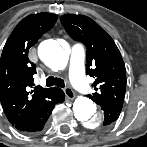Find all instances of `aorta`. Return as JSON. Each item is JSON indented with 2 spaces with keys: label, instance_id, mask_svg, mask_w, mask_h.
<instances>
[{
  "label": "aorta",
  "instance_id": "aorta-1",
  "mask_svg": "<svg viewBox=\"0 0 147 147\" xmlns=\"http://www.w3.org/2000/svg\"><path fill=\"white\" fill-rule=\"evenodd\" d=\"M40 59L53 70H62L68 63L66 51L55 40H45L38 48ZM75 118L88 128H94L103 121V115L97 111L96 104L87 97H78L73 103Z\"/></svg>",
  "mask_w": 147,
  "mask_h": 147
}]
</instances>
